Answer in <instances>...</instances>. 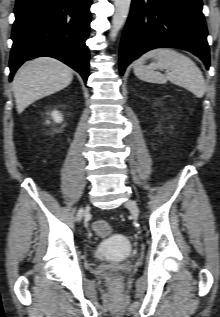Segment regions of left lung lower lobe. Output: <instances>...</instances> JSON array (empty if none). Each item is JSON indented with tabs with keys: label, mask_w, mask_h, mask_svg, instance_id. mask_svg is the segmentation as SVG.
<instances>
[{
	"label": "left lung lower lobe",
	"mask_w": 220,
	"mask_h": 317,
	"mask_svg": "<svg viewBox=\"0 0 220 317\" xmlns=\"http://www.w3.org/2000/svg\"><path fill=\"white\" fill-rule=\"evenodd\" d=\"M206 37L201 0H132L120 46V73L144 52L159 47L185 48L208 69Z\"/></svg>",
	"instance_id": "1"
}]
</instances>
